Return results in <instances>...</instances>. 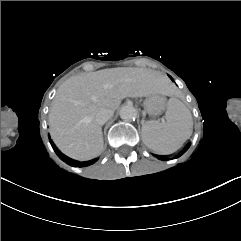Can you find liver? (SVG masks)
<instances>
[{
	"label": "liver",
	"instance_id": "6515ba94",
	"mask_svg": "<svg viewBox=\"0 0 241 241\" xmlns=\"http://www.w3.org/2000/svg\"><path fill=\"white\" fill-rule=\"evenodd\" d=\"M169 81L160 72L116 68L75 75L57 89L49 113L50 133L57 147L73 158L89 160L103 149L96 115L112 112L127 97L167 95Z\"/></svg>",
	"mask_w": 241,
	"mask_h": 241
}]
</instances>
